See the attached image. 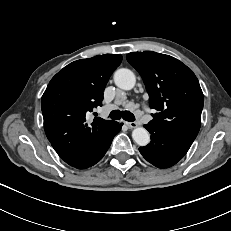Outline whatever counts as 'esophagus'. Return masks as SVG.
Instances as JSON below:
<instances>
[{
	"instance_id": "esophagus-1",
	"label": "esophagus",
	"mask_w": 231,
	"mask_h": 231,
	"mask_svg": "<svg viewBox=\"0 0 231 231\" xmlns=\"http://www.w3.org/2000/svg\"><path fill=\"white\" fill-rule=\"evenodd\" d=\"M125 124L129 127V128H135L138 126V124L136 122H125Z\"/></svg>"
}]
</instances>
